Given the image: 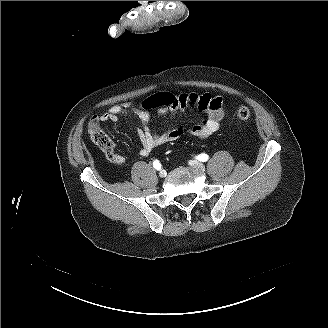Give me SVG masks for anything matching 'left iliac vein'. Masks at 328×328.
Listing matches in <instances>:
<instances>
[{"mask_svg": "<svg viewBox=\"0 0 328 328\" xmlns=\"http://www.w3.org/2000/svg\"><path fill=\"white\" fill-rule=\"evenodd\" d=\"M189 165H191L192 167H196V168H200V169H205V166L203 163L199 162V161H189Z\"/></svg>", "mask_w": 328, "mask_h": 328, "instance_id": "obj_1", "label": "left iliac vein"}]
</instances>
